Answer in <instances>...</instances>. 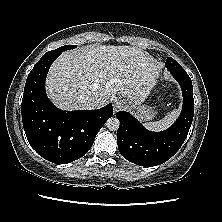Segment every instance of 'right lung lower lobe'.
<instances>
[{"label":"right lung lower lobe","mask_w":222,"mask_h":222,"mask_svg":"<svg viewBox=\"0 0 222 222\" xmlns=\"http://www.w3.org/2000/svg\"><path fill=\"white\" fill-rule=\"evenodd\" d=\"M59 53L45 54L26 80L22 99V121L32 148L44 159L57 164L81 158L113 115L112 104L97 110L62 111L45 93L47 72Z\"/></svg>","instance_id":"1"}]
</instances>
